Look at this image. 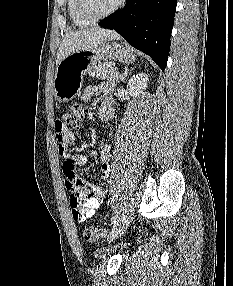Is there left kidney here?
I'll return each instance as SVG.
<instances>
[{
	"mask_svg": "<svg viewBox=\"0 0 233 286\" xmlns=\"http://www.w3.org/2000/svg\"><path fill=\"white\" fill-rule=\"evenodd\" d=\"M148 75L139 73L129 79L127 89L131 96H137L147 87Z\"/></svg>",
	"mask_w": 233,
	"mask_h": 286,
	"instance_id": "5707ae66",
	"label": "left kidney"
}]
</instances>
